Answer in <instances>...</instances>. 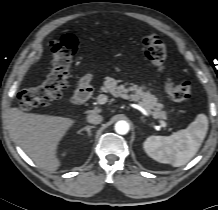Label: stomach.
I'll return each instance as SVG.
<instances>
[{"label":"stomach","instance_id":"0dacf381","mask_svg":"<svg viewBox=\"0 0 218 210\" xmlns=\"http://www.w3.org/2000/svg\"><path fill=\"white\" fill-rule=\"evenodd\" d=\"M91 78V75H86L83 78H81V80L79 81V87H86L91 81Z\"/></svg>","mask_w":218,"mask_h":210}]
</instances>
